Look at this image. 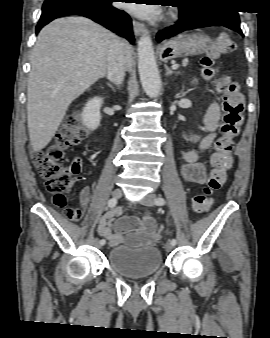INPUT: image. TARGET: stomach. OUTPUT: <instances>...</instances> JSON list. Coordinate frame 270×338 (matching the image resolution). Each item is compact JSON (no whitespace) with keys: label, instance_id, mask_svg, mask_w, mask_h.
<instances>
[{"label":"stomach","instance_id":"stomach-1","mask_svg":"<svg viewBox=\"0 0 270 338\" xmlns=\"http://www.w3.org/2000/svg\"><path fill=\"white\" fill-rule=\"evenodd\" d=\"M209 47V37L200 33H184L165 41L159 47V57L162 61H168L181 56L199 55Z\"/></svg>","mask_w":270,"mask_h":338}]
</instances>
